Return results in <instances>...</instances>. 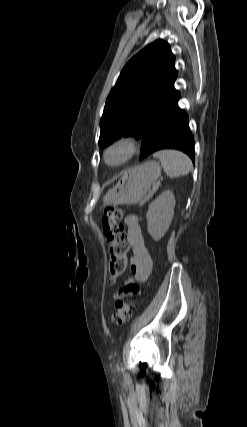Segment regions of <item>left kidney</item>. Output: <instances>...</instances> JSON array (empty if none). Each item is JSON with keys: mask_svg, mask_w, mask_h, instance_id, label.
Wrapping results in <instances>:
<instances>
[{"mask_svg": "<svg viewBox=\"0 0 247 427\" xmlns=\"http://www.w3.org/2000/svg\"><path fill=\"white\" fill-rule=\"evenodd\" d=\"M176 201L172 191L165 190L149 205L146 218L150 236L159 241L168 231Z\"/></svg>", "mask_w": 247, "mask_h": 427, "instance_id": "1", "label": "left kidney"}]
</instances>
